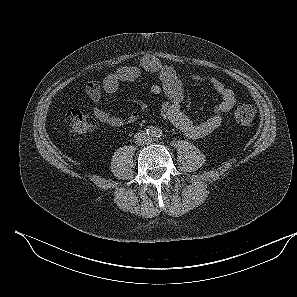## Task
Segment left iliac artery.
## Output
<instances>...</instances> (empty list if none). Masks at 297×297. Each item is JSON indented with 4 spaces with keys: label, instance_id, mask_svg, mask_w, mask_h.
Returning a JSON list of instances; mask_svg holds the SVG:
<instances>
[{
    "label": "left iliac artery",
    "instance_id": "obj_1",
    "mask_svg": "<svg viewBox=\"0 0 297 297\" xmlns=\"http://www.w3.org/2000/svg\"><path fill=\"white\" fill-rule=\"evenodd\" d=\"M155 136H156V137H161V136H162V130H160V129H156V130H155Z\"/></svg>",
    "mask_w": 297,
    "mask_h": 297
}]
</instances>
